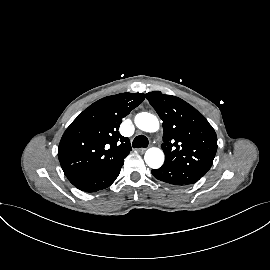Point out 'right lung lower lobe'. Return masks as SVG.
<instances>
[{"instance_id":"1","label":"right lung lower lobe","mask_w":270,"mask_h":270,"mask_svg":"<svg viewBox=\"0 0 270 270\" xmlns=\"http://www.w3.org/2000/svg\"><path fill=\"white\" fill-rule=\"evenodd\" d=\"M124 160L111 169L94 172L70 180L78 189L85 192H96L110 186L118 177Z\"/></svg>"}]
</instances>
